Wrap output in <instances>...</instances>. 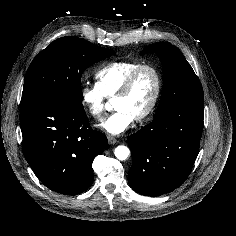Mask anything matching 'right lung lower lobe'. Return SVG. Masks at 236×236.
<instances>
[{
	"label": "right lung lower lobe",
	"mask_w": 236,
	"mask_h": 236,
	"mask_svg": "<svg viewBox=\"0 0 236 236\" xmlns=\"http://www.w3.org/2000/svg\"><path fill=\"white\" fill-rule=\"evenodd\" d=\"M23 153L49 189L76 195L93 181L92 162L107 138L92 130L82 107L37 100L21 105Z\"/></svg>",
	"instance_id": "98d812e1"
}]
</instances>
